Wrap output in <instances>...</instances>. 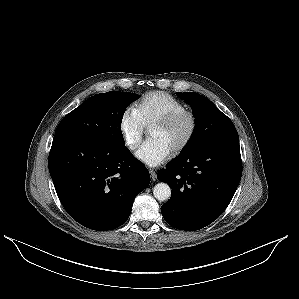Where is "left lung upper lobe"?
<instances>
[{
	"label": "left lung upper lobe",
	"mask_w": 299,
	"mask_h": 299,
	"mask_svg": "<svg viewBox=\"0 0 299 299\" xmlns=\"http://www.w3.org/2000/svg\"><path fill=\"white\" fill-rule=\"evenodd\" d=\"M192 108L195 128L179 157L188 156L203 150L211 142L236 131L232 121L208 98L194 92H177Z\"/></svg>",
	"instance_id": "1"
}]
</instances>
